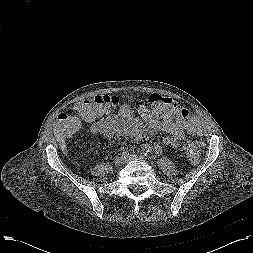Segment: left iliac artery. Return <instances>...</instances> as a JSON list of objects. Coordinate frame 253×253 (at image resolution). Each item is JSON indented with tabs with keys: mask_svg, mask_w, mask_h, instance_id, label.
Segmentation results:
<instances>
[{
	"mask_svg": "<svg viewBox=\"0 0 253 253\" xmlns=\"http://www.w3.org/2000/svg\"><path fill=\"white\" fill-rule=\"evenodd\" d=\"M145 156H147L146 153H141V154H140V157H142V158H145Z\"/></svg>",
	"mask_w": 253,
	"mask_h": 253,
	"instance_id": "44dca946",
	"label": "left iliac artery"
}]
</instances>
